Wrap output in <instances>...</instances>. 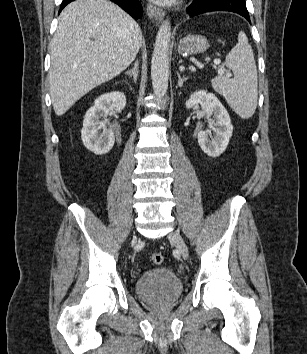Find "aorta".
Instances as JSON below:
<instances>
[{"instance_id":"1","label":"aorta","mask_w":307,"mask_h":354,"mask_svg":"<svg viewBox=\"0 0 307 354\" xmlns=\"http://www.w3.org/2000/svg\"><path fill=\"white\" fill-rule=\"evenodd\" d=\"M170 40L171 26L166 19L158 30L151 61L153 91L159 98L164 97L168 89Z\"/></svg>"}]
</instances>
